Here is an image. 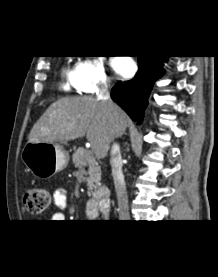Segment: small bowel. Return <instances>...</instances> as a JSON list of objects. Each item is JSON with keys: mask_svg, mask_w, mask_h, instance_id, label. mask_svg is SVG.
I'll list each match as a JSON object with an SVG mask.
<instances>
[{"mask_svg": "<svg viewBox=\"0 0 218 277\" xmlns=\"http://www.w3.org/2000/svg\"><path fill=\"white\" fill-rule=\"evenodd\" d=\"M53 203L56 209L64 210L68 205V194L65 189L59 188L55 190L53 194ZM87 211L91 217H95L98 214L97 205L94 201H88L86 204ZM53 220H63L64 214L60 211L55 212L52 216Z\"/></svg>", "mask_w": 218, "mask_h": 277, "instance_id": "small-bowel-1", "label": "small bowel"}]
</instances>
